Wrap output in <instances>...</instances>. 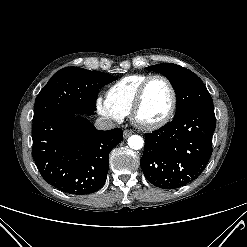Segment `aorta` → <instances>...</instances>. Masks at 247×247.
Listing matches in <instances>:
<instances>
[{"instance_id":"762f6f07","label":"aorta","mask_w":247,"mask_h":247,"mask_svg":"<svg viewBox=\"0 0 247 247\" xmlns=\"http://www.w3.org/2000/svg\"><path fill=\"white\" fill-rule=\"evenodd\" d=\"M128 145L131 149L139 150L144 145V140L139 135H132L128 138Z\"/></svg>"}]
</instances>
